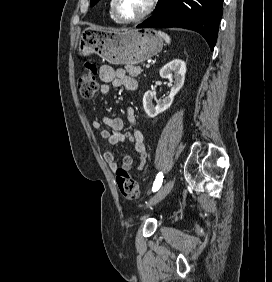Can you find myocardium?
Listing matches in <instances>:
<instances>
[{
	"mask_svg": "<svg viewBox=\"0 0 272 282\" xmlns=\"http://www.w3.org/2000/svg\"><path fill=\"white\" fill-rule=\"evenodd\" d=\"M158 0H150V3L148 5V8L139 16L134 17V18H125L123 17L119 11H118V0H112L111 1V9L113 12V15L121 22L123 23H137L148 17L155 9L156 4Z\"/></svg>",
	"mask_w": 272,
	"mask_h": 282,
	"instance_id": "myocardium-1",
	"label": "myocardium"
}]
</instances>
